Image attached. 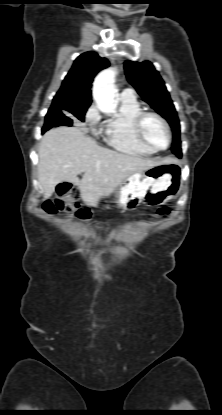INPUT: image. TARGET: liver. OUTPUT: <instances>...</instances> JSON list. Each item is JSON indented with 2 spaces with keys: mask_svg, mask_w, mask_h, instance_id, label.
Returning a JSON list of instances; mask_svg holds the SVG:
<instances>
[{
  "mask_svg": "<svg viewBox=\"0 0 222 415\" xmlns=\"http://www.w3.org/2000/svg\"><path fill=\"white\" fill-rule=\"evenodd\" d=\"M171 162H175L172 157L158 160L119 153L99 146L78 128L57 127L47 131L40 142L38 179L44 199L52 196L57 184L70 182L78 186L87 205H96L129 176Z\"/></svg>",
  "mask_w": 222,
  "mask_h": 415,
  "instance_id": "obj_1",
  "label": "liver"
}]
</instances>
